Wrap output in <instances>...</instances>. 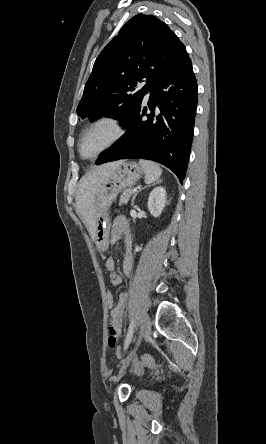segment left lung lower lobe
<instances>
[{
	"label": "left lung lower lobe",
	"instance_id": "0a47b994",
	"mask_svg": "<svg viewBox=\"0 0 266 444\" xmlns=\"http://www.w3.org/2000/svg\"><path fill=\"white\" fill-rule=\"evenodd\" d=\"M147 107L125 123L127 134L100 154L97 165L124 158L153 160L185 177L193 140L197 83L188 53L149 90ZM155 106L158 113H155Z\"/></svg>",
	"mask_w": 266,
	"mask_h": 444
}]
</instances>
